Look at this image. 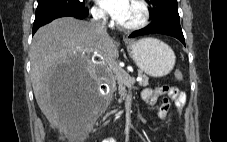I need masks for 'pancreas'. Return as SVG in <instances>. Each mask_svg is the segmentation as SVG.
Masks as SVG:
<instances>
[{
  "mask_svg": "<svg viewBox=\"0 0 227 142\" xmlns=\"http://www.w3.org/2000/svg\"><path fill=\"white\" fill-rule=\"evenodd\" d=\"M121 71L124 72L125 74H128V73H126L123 70H121ZM138 76L141 78V81H139V85L140 86H147L148 83H149L148 76H146L145 74H143L142 71H139L138 72ZM115 80L117 81V84H118V94L120 96L119 103H121L127 97V89H126L127 85L125 84V82L123 80L119 79L117 77V75H115Z\"/></svg>",
  "mask_w": 227,
  "mask_h": 142,
  "instance_id": "1",
  "label": "pancreas"
}]
</instances>
